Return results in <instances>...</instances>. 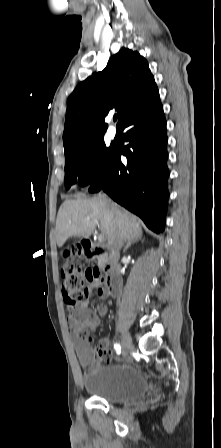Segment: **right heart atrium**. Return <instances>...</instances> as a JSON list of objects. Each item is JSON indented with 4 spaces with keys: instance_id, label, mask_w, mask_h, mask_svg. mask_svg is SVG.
Instances as JSON below:
<instances>
[{
    "instance_id": "right-heart-atrium-1",
    "label": "right heart atrium",
    "mask_w": 221,
    "mask_h": 448,
    "mask_svg": "<svg viewBox=\"0 0 221 448\" xmlns=\"http://www.w3.org/2000/svg\"><path fill=\"white\" fill-rule=\"evenodd\" d=\"M98 162L95 158H91L87 164V172L92 174L97 170Z\"/></svg>"
}]
</instances>
